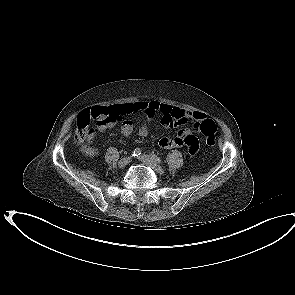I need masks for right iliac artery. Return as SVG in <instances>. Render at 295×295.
Returning a JSON list of instances; mask_svg holds the SVG:
<instances>
[{"label": "right iliac artery", "instance_id": "right-iliac-artery-1", "mask_svg": "<svg viewBox=\"0 0 295 295\" xmlns=\"http://www.w3.org/2000/svg\"><path fill=\"white\" fill-rule=\"evenodd\" d=\"M141 154V149L140 148H136L133 152H132V156H136L138 157Z\"/></svg>", "mask_w": 295, "mask_h": 295}]
</instances>
